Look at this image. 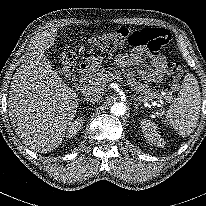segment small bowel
Instances as JSON below:
<instances>
[{"instance_id":"1","label":"small bowel","mask_w":206,"mask_h":206,"mask_svg":"<svg viewBox=\"0 0 206 206\" xmlns=\"http://www.w3.org/2000/svg\"><path fill=\"white\" fill-rule=\"evenodd\" d=\"M148 58L149 62H146ZM117 63L121 66H140L139 76L149 81H160L167 71V59L160 53H151L143 46L135 47L130 55L119 56Z\"/></svg>"}]
</instances>
